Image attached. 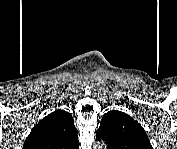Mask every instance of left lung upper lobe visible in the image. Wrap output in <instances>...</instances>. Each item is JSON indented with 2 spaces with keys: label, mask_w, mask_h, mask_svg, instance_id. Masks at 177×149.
<instances>
[{
  "label": "left lung upper lobe",
  "mask_w": 177,
  "mask_h": 149,
  "mask_svg": "<svg viewBox=\"0 0 177 149\" xmlns=\"http://www.w3.org/2000/svg\"><path fill=\"white\" fill-rule=\"evenodd\" d=\"M96 137L106 141L109 149H151L143 127L129 115L111 110L104 114Z\"/></svg>",
  "instance_id": "left-lung-upper-lobe-1"
}]
</instances>
